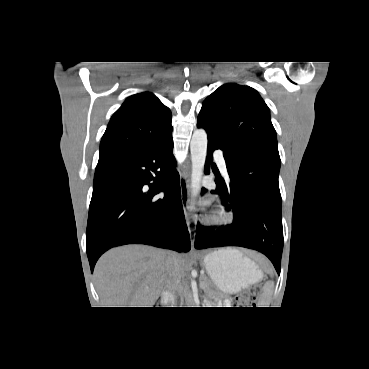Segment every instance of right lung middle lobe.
Returning <instances> with one entry per match:
<instances>
[{
  "label": "right lung middle lobe",
  "mask_w": 369,
  "mask_h": 369,
  "mask_svg": "<svg viewBox=\"0 0 369 369\" xmlns=\"http://www.w3.org/2000/svg\"><path fill=\"white\" fill-rule=\"evenodd\" d=\"M100 166H102V165H97V167H96V168H99Z\"/></svg>",
  "instance_id": "dd1d6c3e"
}]
</instances>
